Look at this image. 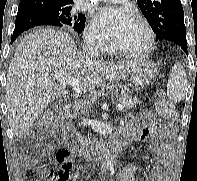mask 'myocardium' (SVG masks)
I'll use <instances>...</instances> for the list:
<instances>
[{
	"label": "myocardium",
	"mask_w": 197,
	"mask_h": 181,
	"mask_svg": "<svg viewBox=\"0 0 197 181\" xmlns=\"http://www.w3.org/2000/svg\"><path fill=\"white\" fill-rule=\"evenodd\" d=\"M133 21L138 23L139 25H141L147 33L148 39H147V43L144 46V48L141 50H137V51L128 50V49L118 46L117 43L115 42L113 45V49L116 52H118L119 54L126 56V57L141 58V57L148 55L153 50L154 45H155L156 36H155V32H154L152 26L144 18H142L140 16H136L133 18Z\"/></svg>",
	"instance_id": "1"
}]
</instances>
